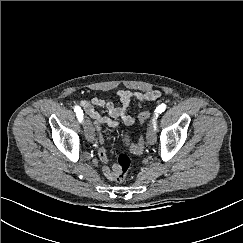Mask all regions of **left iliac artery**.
Wrapping results in <instances>:
<instances>
[{"instance_id":"44dca946","label":"left iliac artery","mask_w":243,"mask_h":243,"mask_svg":"<svg viewBox=\"0 0 243 243\" xmlns=\"http://www.w3.org/2000/svg\"><path fill=\"white\" fill-rule=\"evenodd\" d=\"M166 109V105L165 104H161L159 105L156 110H155V114H154V128L156 129V124H155V119L158 117V114L164 112Z\"/></svg>"}]
</instances>
